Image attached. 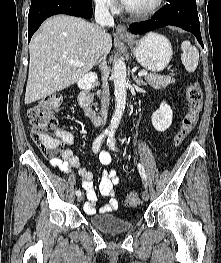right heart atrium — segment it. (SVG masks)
Listing matches in <instances>:
<instances>
[{"instance_id": "1", "label": "right heart atrium", "mask_w": 221, "mask_h": 263, "mask_svg": "<svg viewBox=\"0 0 221 263\" xmlns=\"http://www.w3.org/2000/svg\"><path fill=\"white\" fill-rule=\"evenodd\" d=\"M96 6H98L100 9L113 12L117 8V2L116 0H93Z\"/></svg>"}]
</instances>
